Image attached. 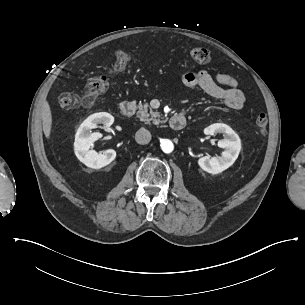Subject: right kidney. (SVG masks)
<instances>
[{
    "instance_id": "1",
    "label": "right kidney",
    "mask_w": 305,
    "mask_h": 305,
    "mask_svg": "<svg viewBox=\"0 0 305 305\" xmlns=\"http://www.w3.org/2000/svg\"><path fill=\"white\" fill-rule=\"evenodd\" d=\"M113 121L114 119L110 114L98 113L90 116L81 124L75 137L74 150L78 160L85 166L92 169H100L110 164L116 158V151L114 149H107L103 153L89 151L92 143L99 139L96 136L97 133H95L94 137L90 130L96 128L98 124H102L103 128L109 127Z\"/></svg>"
}]
</instances>
